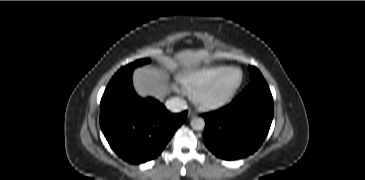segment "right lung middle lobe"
<instances>
[{"label": "right lung middle lobe", "instance_id": "dd1d6c3e", "mask_svg": "<svg viewBox=\"0 0 365 180\" xmlns=\"http://www.w3.org/2000/svg\"><path fill=\"white\" fill-rule=\"evenodd\" d=\"M147 63H150V59L137 60L127 66L122 67L115 75L121 74V73L127 72V71H132L135 67L143 65V64H147Z\"/></svg>", "mask_w": 365, "mask_h": 180}]
</instances>
